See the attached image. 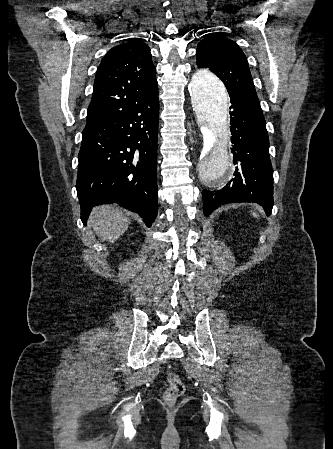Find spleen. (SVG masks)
I'll return each instance as SVG.
<instances>
[{
  "mask_svg": "<svg viewBox=\"0 0 333 449\" xmlns=\"http://www.w3.org/2000/svg\"><path fill=\"white\" fill-rule=\"evenodd\" d=\"M253 215H254V216H257V214H256V213H253Z\"/></svg>",
  "mask_w": 333,
  "mask_h": 449,
  "instance_id": "1",
  "label": "spleen"
}]
</instances>
